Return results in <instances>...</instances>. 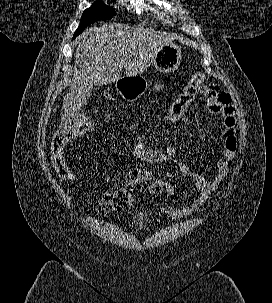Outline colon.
Wrapping results in <instances>:
<instances>
[{"mask_svg":"<svg viewBox=\"0 0 272 303\" xmlns=\"http://www.w3.org/2000/svg\"><path fill=\"white\" fill-rule=\"evenodd\" d=\"M204 74L195 73L189 83L176 96L173 102L166 109L158 130L145 132L132 137L128 145L132 149L149 148L155 141L157 133L161 131H175L183 129L188 125L187 113L193 103L195 96L203 87ZM94 123L90 117H78L70 121L63 129L58 131L51 142V162L59 177L65 180L76 178L75 171L67 164L65 159V148L74 139L82 137L91 132ZM165 182L158 179L150 186V193L161 194L164 190ZM133 204V197L122 190L106 193L102 195L98 202V210L102 214L110 213L130 207Z\"/></svg>","mask_w":272,"mask_h":303,"instance_id":"obj_1","label":"colon"}]
</instances>
